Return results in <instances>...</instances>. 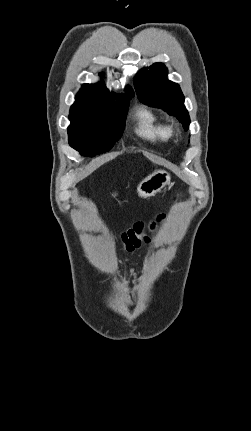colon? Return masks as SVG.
Masks as SVG:
<instances>
[{
	"label": "colon",
	"mask_w": 251,
	"mask_h": 431,
	"mask_svg": "<svg viewBox=\"0 0 251 431\" xmlns=\"http://www.w3.org/2000/svg\"><path fill=\"white\" fill-rule=\"evenodd\" d=\"M165 218V214H159L154 221L146 225L144 222H136L131 228L123 232L122 240L128 251H133L139 247L141 243L149 241V237L145 235L146 228L153 229L159 222Z\"/></svg>",
	"instance_id": "1"
}]
</instances>
